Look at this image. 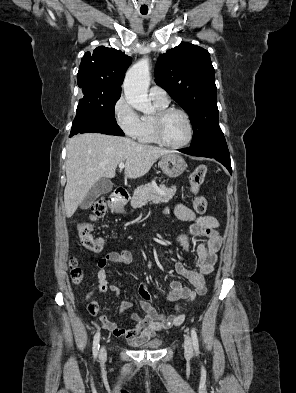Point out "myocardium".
<instances>
[{
  "label": "myocardium",
  "instance_id": "1",
  "mask_svg": "<svg viewBox=\"0 0 296 393\" xmlns=\"http://www.w3.org/2000/svg\"><path fill=\"white\" fill-rule=\"evenodd\" d=\"M173 113H177V114L182 115L188 125V136L185 139V141H183L182 143H179V144H171V143L167 142L163 136L164 122H165L166 118ZM154 135H155V139L158 144H160L164 147H167V148H171V149H181V148L187 146L193 139L194 127H193L192 120H191L189 114L182 109L174 108V107L164 108L162 110L157 111L154 115Z\"/></svg>",
  "mask_w": 296,
  "mask_h": 393
}]
</instances>
